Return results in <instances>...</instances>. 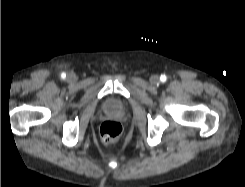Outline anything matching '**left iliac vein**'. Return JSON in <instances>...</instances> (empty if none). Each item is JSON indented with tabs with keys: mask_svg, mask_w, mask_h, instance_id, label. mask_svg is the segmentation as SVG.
<instances>
[{
	"mask_svg": "<svg viewBox=\"0 0 245 187\" xmlns=\"http://www.w3.org/2000/svg\"><path fill=\"white\" fill-rule=\"evenodd\" d=\"M150 82H151L153 85L158 84V83H159V76H158V75H153V76H151Z\"/></svg>",
	"mask_w": 245,
	"mask_h": 187,
	"instance_id": "obj_1",
	"label": "left iliac vein"
}]
</instances>
